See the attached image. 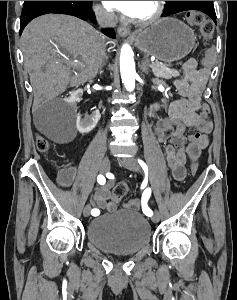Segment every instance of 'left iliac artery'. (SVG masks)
<instances>
[{
	"label": "left iliac artery",
	"mask_w": 237,
	"mask_h": 300,
	"mask_svg": "<svg viewBox=\"0 0 237 300\" xmlns=\"http://www.w3.org/2000/svg\"><path fill=\"white\" fill-rule=\"evenodd\" d=\"M138 162L141 165V167L143 168L144 172L147 174L148 173L147 165L140 159H138ZM150 195H151L150 188H147L142 194V210H143L144 214L147 216L153 215L152 210L147 206V201L150 198Z\"/></svg>",
	"instance_id": "44dca946"
}]
</instances>
